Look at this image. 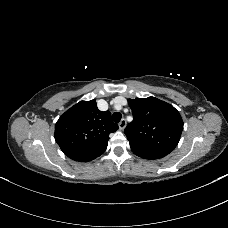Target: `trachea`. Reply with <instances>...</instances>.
I'll list each match as a JSON object with an SVG mask.
<instances>
[{"label":"trachea","mask_w":228,"mask_h":228,"mask_svg":"<svg viewBox=\"0 0 228 228\" xmlns=\"http://www.w3.org/2000/svg\"><path fill=\"white\" fill-rule=\"evenodd\" d=\"M112 118L114 122L118 123L122 118V114L120 112H114Z\"/></svg>","instance_id":"obj_1"}]
</instances>
